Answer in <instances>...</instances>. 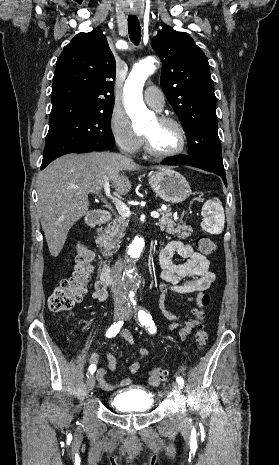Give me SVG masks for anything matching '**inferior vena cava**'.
Returning <instances> with one entry per match:
<instances>
[{"label":"inferior vena cava","instance_id":"602c4592","mask_svg":"<svg viewBox=\"0 0 279 465\" xmlns=\"http://www.w3.org/2000/svg\"><path fill=\"white\" fill-rule=\"evenodd\" d=\"M111 275L113 277V284L111 291L113 294L115 303H123L125 301V293L123 291L122 282V260L118 259L111 269Z\"/></svg>","mask_w":279,"mask_h":465}]
</instances>
